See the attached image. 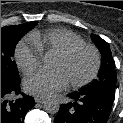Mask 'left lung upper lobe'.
Listing matches in <instances>:
<instances>
[{
  "mask_svg": "<svg viewBox=\"0 0 123 123\" xmlns=\"http://www.w3.org/2000/svg\"><path fill=\"white\" fill-rule=\"evenodd\" d=\"M91 39L101 53V68L98 79L94 80L84 90L114 94L117 74L110 46L105 40L95 34H91Z\"/></svg>",
  "mask_w": 123,
  "mask_h": 123,
  "instance_id": "5c2ea615",
  "label": "left lung upper lobe"
}]
</instances>
